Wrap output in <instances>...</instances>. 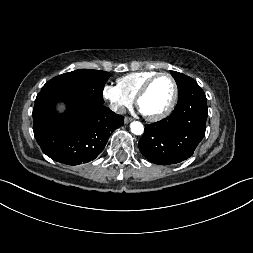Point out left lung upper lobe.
<instances>
[{"instance_id":"left-lung-upper-lobe-1","label":"left lung upper lobe","mask_w":253,"mask_h":253,"mask_svg":"<svg viewBox=\"0 0 253 253\" xmlns=\"http://www.w3.org/2000/svg\"><path fill=\"white\" fill-rule=\"evenodd\" d=\"M171 74L177 83L179 95L183 93L185 90H187L189 86H191L193 83H196L194 79L182 73L171 71Z\"/></svg>"}]
</instances>
